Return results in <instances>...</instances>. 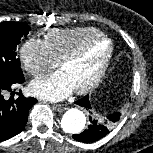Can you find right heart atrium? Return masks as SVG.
Masks as SVG:
<instances>
[{
	"label": "right heart atrium",
	"mask_w": 153,
	"mask_h": 153,
	"mask_svg": "<svg viewBox=\"0 0 153 153\" xmlns=\"http://www.w3.org/2000/svg\"><path fill=\"white\" fill-rule=\"evenodd\" d=\"M20 59L26 72L33 77L42 76L57 65L44 41L34 37L22 44Z\"/></svg>",
	"instance_id": "right-heart-atrium-1"
}]
</instances>
